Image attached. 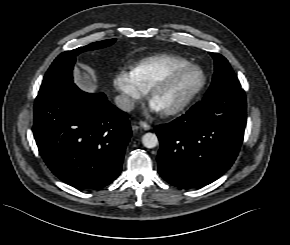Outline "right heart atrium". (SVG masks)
I'll use <instances>...</instances> for the list:
<instances>
[{"instance_id":"right-heart-atrium-1","label":"right heart atrium","mask_w":290,"mask_h":245,"mask_svg":"<svg viewBox=\"0 0 290 245\" xmlns=\"http://www.w3.org/2000/svg\"><path fill=\"white\" fill-rule=\"evenodd\" d=\"M113 84L120 95L121 107L126 111L132 110L145 95V91L136 82L132 71L118 70Z\"/></svg>"}]
</instances>
